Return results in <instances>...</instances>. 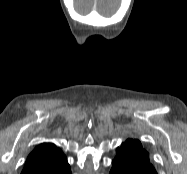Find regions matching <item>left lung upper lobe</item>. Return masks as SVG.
<instances>
[{
    "mask_svg": "<svg viewBox=\"0 0 187 174\" xmlns=\"http://www.w3.org/2000/svg\"><path fill=\"white\" fill-rule=\"evenodd\" d=\"M112 163H121L125 168L137 174H142L144 169L155 172V168L148 158V152L142 148L139 140L128 139L117 149V156Z\"/></svg>",
    "mask_w": 187,
    "mask_h": 174,
    "instance_id": "5c2ea615",
    "label": "left lung upper lobe"
}]
</instances>
